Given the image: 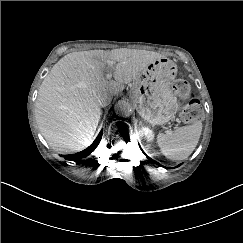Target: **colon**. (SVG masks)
<instances>
[{
  "label": "colon",
  "mask_w": 243,
  "mask_h": 243,
  "mask_svg": "<svg viewBox=\"0 0 243 243\" xmlns=\"http://www.w3.org/2000/svg\"><path fill=\"white\" fill-rule=\"evenodd\" d=\"M173 93L181 102V119L185 123H192L201 118L202 109L199 101L194 96L190 85L184 80H178L173 84Z\"/></svg>",
  "instance_id": "1"
}]
</instances>
